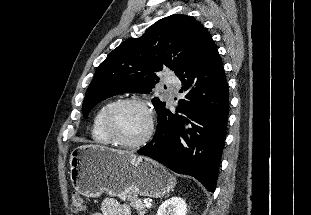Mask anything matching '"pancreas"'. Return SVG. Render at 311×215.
I'll return each instance as SVG.
<instances>
[{
    "label": "pancreas",
    "instance_id": "1",
    "mask_svg": "<svg viewBox=\"0 0 311 215\" xmlns=\"http://www.w3.org/2000/svg\"><path fill=\"white\" fill-rule=\"evenodd\" d=\"M121 199L124 201L127 200L128 202H130V206L135 208L136 211L139 213V215L146 214L147 210L145 208L143 200L140 199L137 194L129 193L124 196H121Z\"/></svg>",
    "mask_w": 311,
    "mask_h": 215
}]
</instances>
